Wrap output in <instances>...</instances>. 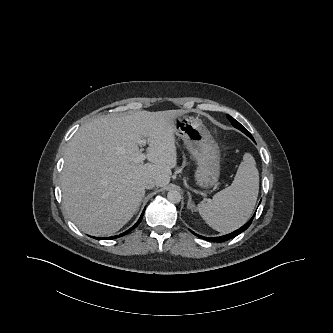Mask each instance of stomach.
Instances as JSON below:
<instances>
[{"label": "stomach", "mask_w": 333, "mask_h": 333, "mask_svg": "<svg viewBox=\"0 0 333 333\" xmlns=\"http://www.w3.org/2000/svg\"><path fill=\"white\" fill-rule=\"evenodd\" d=\"M174 127L197 163V185L201 188L216 185L220 176V149L209 130L200 119L184 114L175 118Z\"/></svg>", "instance_id": "0dacf381"}]
</instances>
